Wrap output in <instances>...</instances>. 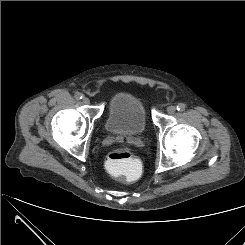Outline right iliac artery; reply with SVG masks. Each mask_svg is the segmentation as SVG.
Returning <instances> with one entry per match:
<instances>
[{
	"mask_svg": "<svg viewBox=\"0 0 245 245\" xmlns=\"http://www.w3.org/2000/svg\"><path fill=\"white\" fill-rule=\"evenodd\" d=\"M75 98H76V100H81L83 98V95L81 93L77 92L75 94Z\"/></svg>",
	"mask_w": 245,
	"mask_h": 245,
	"instance_id": "82829eb1",
	"label": "right iliac artery"
}]
</instances>
